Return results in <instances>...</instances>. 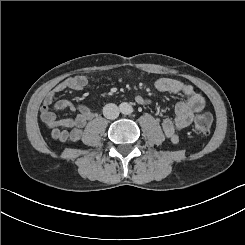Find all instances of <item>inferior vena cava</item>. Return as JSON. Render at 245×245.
I'll return each instance as SVG.
<instances>
[{"instance_id":"602c4592","label":"inferior vena cava","mask_w":245,"mask_h":245,"mask_svg":"<svg viewBox=\"0 0 245 245\" xmlns=\"http://www.w3.org/2000/svg\"><path fill=\"white\" fill-rule=\"evenodd\" d=\"M103 115L105 118L113 120L119 116V109L116 104L108 103L103 107Z\"/></svg>"}]
</instances>
